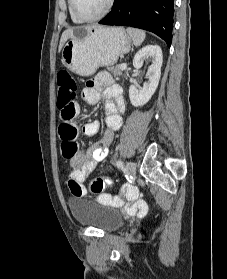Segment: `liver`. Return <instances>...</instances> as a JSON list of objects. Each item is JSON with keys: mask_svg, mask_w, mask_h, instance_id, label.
I'll list each match as a JSON object with an SVG mask.
<instances>
[{"mask_svg": "<svg viewBox=\"0 0 227 279\" xmlns=\"http://www.w3.org/2000/svg\"><path fill=\"white\" fill-rule=\"evenodd\" d=\"M99 26L97 25H93V26H86L84 27L87 31H90L94 28H97ZM74 31L72 28L66 29L62 35H61V39H60V43H59V48L58 51L60 52L62 50V48L64 47L65 43L67 42L68 39L74 38Z\"/></svg>", "mask_w": 227, "mask_h": 279, "instance_id": "1", "label": "liver"}]
</instances>
